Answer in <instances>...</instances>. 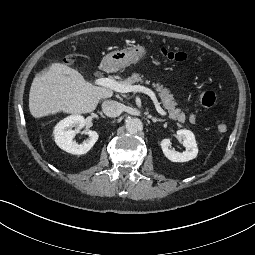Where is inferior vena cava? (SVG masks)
<instances>
[{"label": "inferior vena cava", "mask_w": 255, "mask_h": 255, "mask_svg": "<svg viewBox=\"0 0 255 255\" xmlns=\"http://www.w3.org/2000/svg\"><path fill=\"white\" fill-rule=\"evenodd\" d=\"M102 111L108 117H117L121 114L122 107L117 101L106 100L102 103Z\"/></svg>", "instance_id": "602c4592"}]
</instances>
